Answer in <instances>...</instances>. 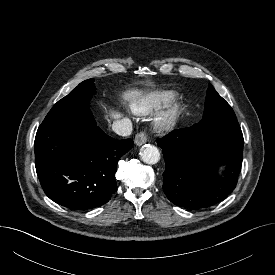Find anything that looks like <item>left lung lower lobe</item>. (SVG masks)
<instances>
[{
    "label": "left lung lower lobe",
    "instance_id": "1",
    "mask_svg": "<svg viewBox=\"0 0 275 275\" xmlns=\"http://www.w3.org/2000/svg\"><path fill=\"white\" fill-rule=\"evenodd\" d=\"M157 143L166 164L163 190L175 205L209 207L235 189L243 160L241 129L213 130L199 122L174 130ZM220 165L228 167L224 177L217 175Z\"/></svg>",
    "mask_w": 275,
    "mask_h": 275
}]
</instances>
